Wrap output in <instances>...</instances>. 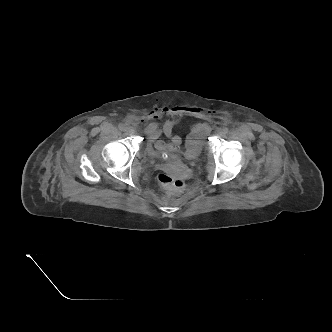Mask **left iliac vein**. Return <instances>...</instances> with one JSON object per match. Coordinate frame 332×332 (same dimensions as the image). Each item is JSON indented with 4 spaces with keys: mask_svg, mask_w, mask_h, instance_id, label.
<instances>
[{
    "mask_svg": "<svg viewBox=\"0 0 332 332\" xmlns=\"http://www.w3.org/2000/svg\"><path fill=\"white\" fill-rule=\"evenodd\" d=\"M222 134H223V131H222V130H218V131H217V135H218V136H221Z\"/></svg>",
    "mask_w": 332,
    "mask_h": 332,
    "instance_id": "4c4485c4",
    "label": "left iliac vein"
}]
</instances>
